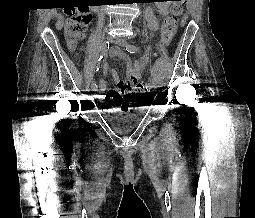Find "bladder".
I'll list each match as a JSON object with an SVG mask.
<instances>
[{
    "instance_id": "bladder-1",
    "label": "bladder",
    "mask_w": 255,
    "mask_h": 218,
    "mask_svg": "<svg viewBox=\"0 0 255 218\" xmlns=\"http://www.w3.org/2000/svg\"><path fill=\"white\" fill-rule=\"evenodd\" d=\"M122 116H124V118L120 119ZM109 119L115 121L114 123L115 130L121 133L130 131L138 122V118L135 113H131L129 115L120 114L109 115Z\"/></svg>"
}]
</instances>
